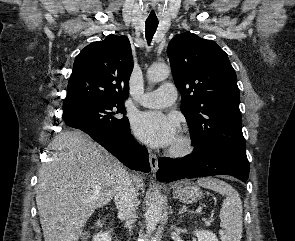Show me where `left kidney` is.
<instances>
[{"label": "left kidney", "instance_id": "5707ae66", "mask_svg": "<svg viewBox=\"0 0 295 241\" xmlns=\"http://www.w3.org/2000/svg\"><path fill=\"white\" fill-rule=\"evenodd\" d=\"M194 234L198 238V241H218L216 235L211 231L196 230Z\"/></svg>", "mask_w": 295, "mask_h": 241}]
</instances>
